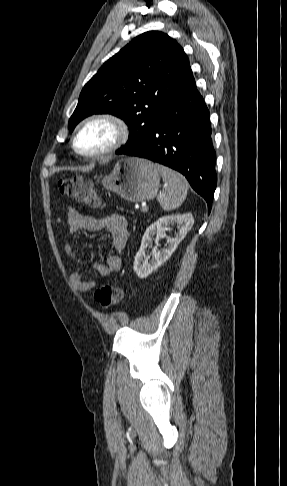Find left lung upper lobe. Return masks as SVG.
<instances>
[{
    "instance_id": "left-lung-upper-lobe-1",
    "label": "left lung upper lobe",
    "mask_w": 287,
    "mask_h": 486,
    "mask_svg": "<svg viewBox=\"0 0 287 486\" xmlns=\"http://www.w3.org/2000/svg\"><path fill=\"white\" fill-rule=\"evenodd\" d=\"M193 78L182 47L167 34L145 32L104 63L81 91L69 131L85 117L110 113L130 134L116 154L140 145L170 100Z\"/></svg>"
}]
</instances>
